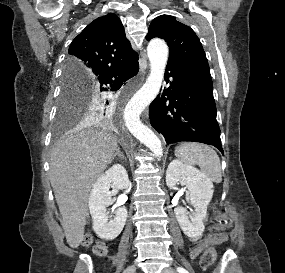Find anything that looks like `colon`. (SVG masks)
I'll use <instances>...</instances> for the list:
<instances>
[{"label": "colon", "mask_w": 285, "mask_h": 273, "mask_svg": "<svg viewBox=\"0 0 285 273\" xmlns=\"http://www.w3.org/2000/svg\"><path fill=\"white\" fill-rule=\"evenodd\" d=\"M215 221L217 224V233L230 227L231 220L219 209L215 210ZM83 244L93 246V250L98 255H104L107 250V245L102 241H94L91 235H86L83 238ZM217 254L213 246L208 247L200 258V266L203 269L210 268L216 261Z\"/></svg>", "instance_id": "5ec220e1"}]
</instances>
